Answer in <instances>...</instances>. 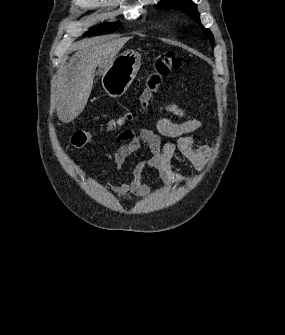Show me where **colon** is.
<instances>
[{
	"instance_id": "obj_1",
	"label": "colon",
	"mask_w": 285,
	"mask_h": 335,
	"mask_svg": "<svg viewBox=\"0 0 285 335\" xmlns=\"http://www.w3.org/2000/svg\"><path fill=\"white\" fill-rule=\"evenodd\" d=\"M182 65L181 59L172 52H163L154 59V64L149 73L143 92L139 96V110L145 109L153 95L157 92L163 80L169 77L175 70ZM134 112L127 111L117 118L110 119L106 125L107 130H113L132 120ZM94 137L90 130H78L71 138V144L74 148L80 149L89 143Z\"/></svg>"
}]
</instances>
